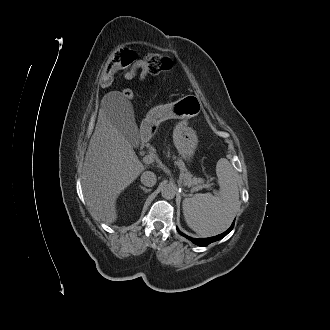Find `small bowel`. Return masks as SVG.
Returning a JSON list of instances; mask_svg holds the SVG:
<instances>
[{"instance_id":"1","label":"small bowel","mask_w":330,"mask_h":330,"mask_svg":"<svg viewBox=\"0 0 330 330\" xmlns=\"http://www.w3.org/2000/svg\"><path fill=\"white\" fill-rule=\"evenodd\" d=\"M139 75V80L144 81L148 75L146 63L142 59H136L135 62L123 72V77L126 80H131ZM107 84V83H103Z\"/></svg>"}]
</instances>
